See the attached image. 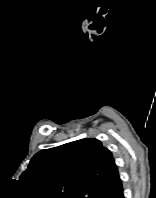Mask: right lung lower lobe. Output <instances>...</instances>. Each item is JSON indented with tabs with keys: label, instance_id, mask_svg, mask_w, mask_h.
<instances>
[{
	"label": "right lung lower lobe",
	"instance_id": "98d812e1",
	"mask_svg": "<svg viewBox=\"0 0 156 198\" xmlns=\"http://www.w3.org/2000/svg\"><path fill=\"white\" fill-rule=\"evenodd\" d=\"M112 198H124L123 189L118 191Z\"/></svg>",
	"mask_w": 156,
	"mask_h": 198
}]
</instances>
